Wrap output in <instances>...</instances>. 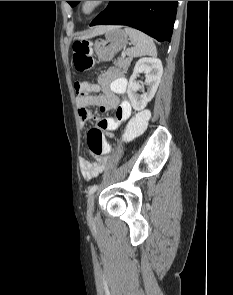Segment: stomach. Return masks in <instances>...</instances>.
Here are the masks:
<instances>
[{"label":"stomach","mask_w":233,"mask_h":295,"mask_svg":"<svg viewBox=\"0 0 233 295\" xmlns=\"http://www.w3.org/2000/svg\"><path fill=\"white\" fill-rule=\"evenodd\" d=\"M105 33L106 40H101L94 45L95 53L100 61L112 60L128 42L126 32L119 27H113Z\"/></svg>","instance_id":"obj_1"}]
</instances>
